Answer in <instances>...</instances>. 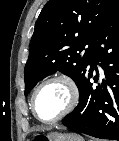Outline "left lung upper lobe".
Instances as JSON below:
<instances>
[{
  "label": "left lung upper lobe",
  "mask_w": 119,
  "mask_h": 141,
  "mask_svg": "<svg viewBox=\"0 0 119 141\" xmlns=\"http://www.w3.org/2000/svg\"><path fill=\"white\" fill-rule=\"evenodd\" d=\"M119 0H50L35 23L24 70L25 95L44 77L60 71L80 87L88 73L95 40ZM85 50L84 54H80Z\"/></svg>",
  "instance_id": "obj_1"
}]
</instances>
